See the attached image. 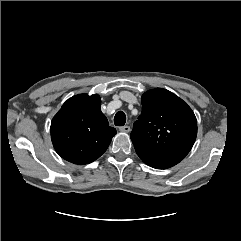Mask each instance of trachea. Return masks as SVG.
I'll list each match as a JSON object with an SVG mask.
<instances>
[{
    "label": "trachea",
    "instance_id": "obj_1",
    "mask_svg": "<svg viewBox=\"0 0 241 241\" xmlns=\"http://www.w3.org/2000/svg\"><path fill=\"white\" fill-rule=\"evenodd\" d=\"M126 122V115L124 112L119 111L116 113L115 117H114V124L116 126H124Z\"/></svg>",
    "mask_w": 241,
    "mask_h": 241
}]
</instances>
